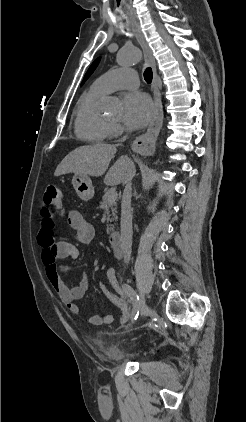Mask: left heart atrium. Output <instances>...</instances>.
Listing matches in <instances>:
<instances>
[{
    "label": "left heart atrium",
    "mask_w": 246,
    "mask_h": 422,
    "mask_svg": "<svg viewBox=\"0 0 246 422\" xmlns=\"http://www.w3.org/2000/svg\"><path fill=\"white\" fill-rule=\"evenodd\" d=\"M123 122L131 129L144 127L153 114V104L148 95L142 92H131L123 101Z\"/></svg>",
    "instance_id": "1"
}]
</instances>
